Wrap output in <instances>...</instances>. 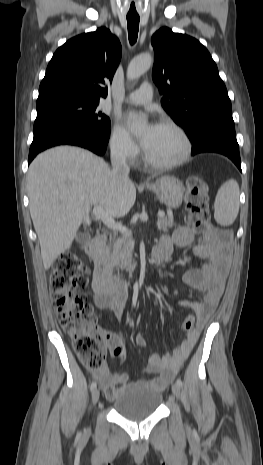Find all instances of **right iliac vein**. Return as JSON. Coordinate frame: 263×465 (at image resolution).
<instances>
[{"label":"right iliac vein","mask_w":263,"mask_h":465,"mask_svg":"<svg viewBox=\"0 0 263 465\" xmlns=\"http://www.w3.org/2000/svg\"><path fill=\"white\" fill-rule=\"evenodd\" d=\"M99 397H100L99 390L98 389L93 390V392H92V402H93L94 405L98 402Z\"/></svg>","instance_id":"1"}]
</instances>
